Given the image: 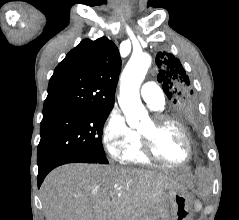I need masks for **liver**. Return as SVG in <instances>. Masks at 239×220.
Masks as SVG:
<instances>
[{
    "instance_id": "1",
    "label": "liver",
    "mask_w": 239,
    "mask_h": 220,
    "mask_svg": "<svg viewBox=\"0 0 239 220\" xmlns=\"http://www.w3.org/2000/svg\"><path fill=\"white\" fill-rule=\"evenodd\" d=\"M182 177L114 165L66 164L41 186L46 220H158Z\"/></svg>"
}]
</instances>
